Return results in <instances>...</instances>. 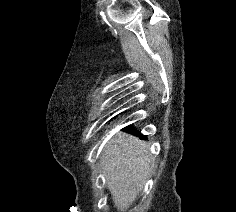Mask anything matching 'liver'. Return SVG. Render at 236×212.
I'll use <instances>...</instances> for the list:
<instances>
[{
	"instance_id": "liver-1",
	"label": "liver",
	"mask_w": 236,
	"mask_h": 212,
	"mask_svg": "<svg viewBox=\"0 0 236 212\" xmlns=\"http://www.w3.org/2000/svg\"><path fill=\"white\" fill-rule=\"evenodd\" d=\"M147 144L124 132L113 136L101 154L102 176L113 202L124 212L137 198L150 174Z\"/></svg>"
}]
</instances>
